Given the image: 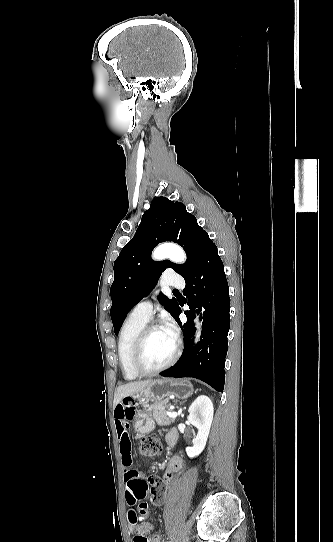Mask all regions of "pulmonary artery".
Wrapping results in <instances>:
<instances>
[{
    "label": "pulmonary artery",
    "instance_id": "obj_1",
    "mask_svg": "<svg viewBox=\"0 0 333 542\" xmlns=\"http://www.w3.org/2000/svg\"><path fill=\"white\" fill-rule=\"evenodd\" d=\"M164 272L166 275L164 279L170 287L180 289L183 286V276L180 273L174 274L175 271L173 267H166ZM148 290L151 292L153 289L150 287ZM153 312L154 303L153 299L150 297L138 302L130 311L129 317L148 321Z\"/></svg>",
    "mask_w": 333,
    "mask_h": 542
}]
</instances>
